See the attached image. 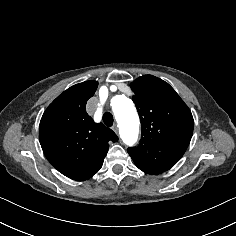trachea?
I'll return each instance as SVG.
<instances>
[{
    "label": "trachea",
    "mask_w": 236,
    "mask_h": 236,
    "mask_svg": "<svg viewBox=\"0 0 236 236\" xmlns=\"http://www.w3.org/2000/svg\"><path fill=\"white\" fill-rule=\"evenodd\" d=\"M102 119L106 126L111 127L113 125V115L110 112L104 113Z\"/></svg>",
    "instance_id": "3493384b"
}]
</instances>
